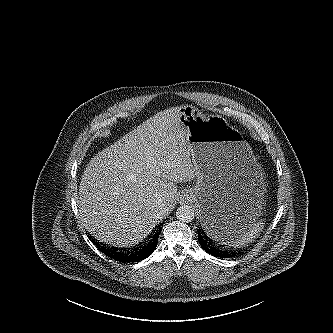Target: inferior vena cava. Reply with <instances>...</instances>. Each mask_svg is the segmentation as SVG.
Segmentation results:
<instances>
[{"instance_id": "obj_1", "label": "inferior vena cava", "mask_w": 333, "mask_h": 333, "mask_svg": "<svg viewBox=\"0 0 333 333\" xmlns=\"http://www.w3.org/2000/svg\"><path fill=\"white\" fill-rule=\"evenodd\" d=\"M160 215H164L168 212L164 204H160L159 209L157 210Z\"/></svg>"}]
</instances>
